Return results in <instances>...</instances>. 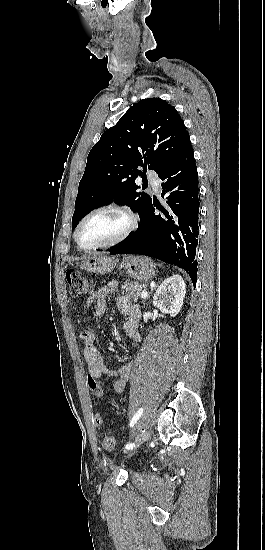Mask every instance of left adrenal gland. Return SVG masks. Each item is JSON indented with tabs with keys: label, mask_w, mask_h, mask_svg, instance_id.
Here are the masks:
<instances>
[{
	"label": "left adrenal gland",
	"mask_w": 265,
	"mask_h": 550,
	"mask_svg": "<svg viewBox=\"0 0 265 550\" xmlns=\"http://www.w3.org/2000/svg\"><path fill=\"white\" fill-rule=\"evenodd\" d=\"M145 301H146V299H145L144 302H143V308L145 307Z\"/></svg>",
	"instance_id": "a2214340"
}]
</instances>
